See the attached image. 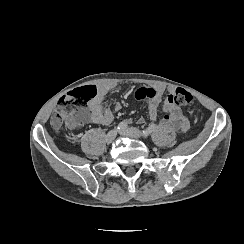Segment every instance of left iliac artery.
I'll list each match as a JSON object with an SVG mask.
<instances>
[{"mask_svg":"<svg viewBox=\"0 0 244 244\" xmlns=\"http://www.w3.org/2000/svg\"><path fill=\"white\" fill-rule=\"evenodd\" d=\"M156 129V124H151L147 129L142 131V136H149Z\"/></svg>","mask_w":244,"mask_h":244,"instance_id":"1","label":"left iliac artery"}]
</instances>
